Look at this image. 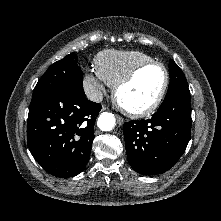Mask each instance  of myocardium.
<instances>
[{"instance_id":"f54148a6","label":"myocardium","mask_w":221,"mask_h":221,"mask_svg":"<svg viewBox=\"0 0 221 221\" xmlns=\"http://www.w3.org/2000/svg\"><path fill=\"white\" fill-rule=\"evenodd\" d=\"M152 66H158L164 72V82H163V85H162L158 95L156 96V98L153 100V102L151 104H149L148 106H146L144 108H141V109H131V108L125 106L119 98V93H120L121 89L124 88L125 86H127L128 84H130L142 70H144L148 67H152ZM169 82H170L169 71L163 63H161L159 61H155V60H150V61H147V62H143V63L137 65L136 67H134L129 73H127L114 86L113 99H114L115 103L118 105V107L125 114H127L131 117H134V118L146 117L148 115H151L153 112H155V110L162 103V101H163V99L166 95V92L168 90Z\"/></svg>"}]
</instances>
